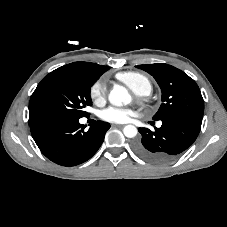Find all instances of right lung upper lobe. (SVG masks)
I'll list each match as a JSON object with an SVG mask.
<instances>
[{
    "label": "right lung upper lobe",
    "instance_id": "obj_1",
    "mask_svg": "<svg viewBox=\"0 0 227 227\" xmlns=\"http://www.w3.org/2000/svg\"><path fill=\"white\" fill-rule=\"evenodd\" d=\"M60 68L89 73L97 76H101L105 71L109 69L108 66H102L95 63L81 62V61L70 63Z\"/></svg>",
    "mask_w": 227,
    "mask_h": 227
}]
</instances>
